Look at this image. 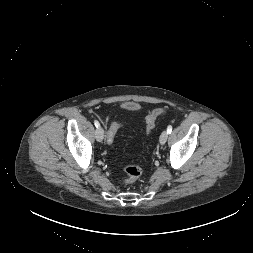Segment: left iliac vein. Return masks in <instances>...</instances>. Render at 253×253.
<instances>
[{
    "mask_svg": "<svg viewBox=\"0 0 253 253\" xmlns=\"http://www.w3.org/2000/svg\"><path fill=\"white\" fill-rule=\"evenodd\" d=\"M167 138H168V133H167V131H163V132L161 133L160 139H159L160 144H161V145H164V144L166 143V141H167Z\"/></svg>",
    "mask_w": 253,
    "mask_h": 253,
    "instance_id": "obj_1",
    "label": "left iliac vein"
}]
</instances>
